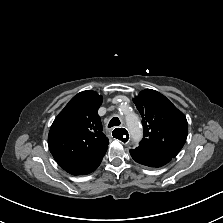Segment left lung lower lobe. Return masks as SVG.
I'll return each mask as SVG.
<instances>
[{
	"label": "left lung lower lobe",
	"instance_id": "1",
	"mask_svg": "<svg viewBox=\"0 0 223 223\" xmlns=\"http://www.w3.org/2000/svg\"><path fill=\"white\" fill-rule=\"evenodd\" d=\"M130 154L137 163L148 167H161L173 158L166 154L140 146L135 149H131Z\"/></svg>",
	"mask_w": 223,
	"mask_h": 223
}]
</instances>
